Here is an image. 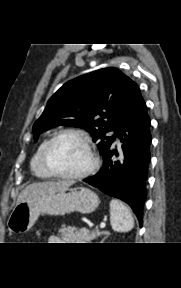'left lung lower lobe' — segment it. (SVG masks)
<instances>
[{"label": "left lung lower lobe", "instance_id": "obj_1", "mask_svg": "<svg viewBox=\"0 0 181 288\" xmlns=\"http://www.w3.org/2000/svg\"><path fill=\"white\" fill-rule=\"evenodd\" d=\"M116 137L122 143L123 162L111 160L114 154L119 155L111 146L103 155V167L100 171L84 181L110 196L125 201L133 209L141 227L152 137L150 118L140 91L121 123Z\"/></svg>", "mask_w": 181, "mask_h": 288}]
</instances>
